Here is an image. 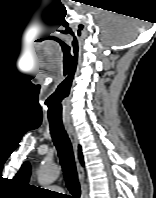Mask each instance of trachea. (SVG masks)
Masks as SVG:
<instances>
[{
	"instance_id": "obj_1",
	"label": "trachea",
	"mask_w": 156,
	"mask_h": 198,
	"mask_svg": "<svg viewBox=\"0 0 156 198\" xmlns=\"http://www.w3.org/2000/svg\"><path fill=\"white\" fill-rule=\"evenodd\" d=\"M50 132L58 151L66 186L73 196H68L67 198H80V184L78 181L72 145L62 122L50 121Z\"/></svg>"
}]
</instances>
